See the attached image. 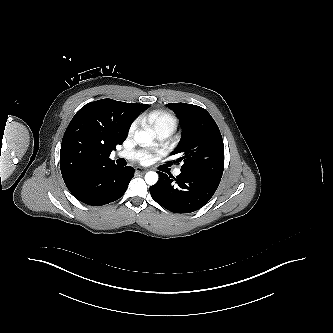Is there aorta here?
Masks as SVG:
<instances>
[{
	"label": "aorta",
	"instance_id": "762f6f07",
	"mask_svg": "<svg viewBox=\"0 0 333 333\" xmlns=\"http://www.w3.org/2000/svg\"><path fill=\"white\" fill-rule=\"evenodd\" d=\"M155 136L154 131H136L134 135V139L137 143L141 145H149L151 144L153 138ZM145 181L148 185H154L158 181V174L154 171H149L145 174Z\"/></svg>",
	"mask_w": 333,
	"mask_h": 333
}]
</instances>
